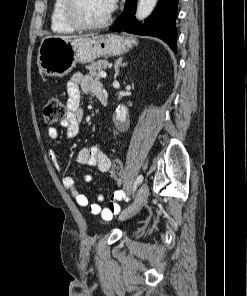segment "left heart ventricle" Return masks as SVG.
<instances>
[{"mask_svg": "<svg viewBox=\"0 0 247 296\" xmlns=\"http://www.w3.org/2000/svg\"><path fill=\"white\" fill-rule=\"evenodd\" d=\"M79 15L86 23H99L104 21L110 11L106 0H81Z\"/></svg>", "mask_w": 247, "mask_h": 296, "instance_id": "left-heart-ventricle-1", "label": "left heart ventricle"}]
</instances>
